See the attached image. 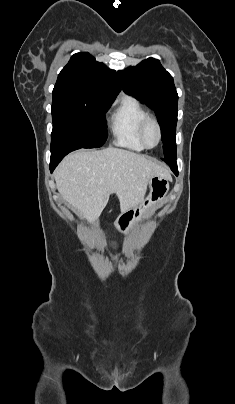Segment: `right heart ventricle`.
I'll use <instances>...</instances> for the list:
<instances>
[{"label":"right heart ventricle","mask_w":235,"mask_h":404,"mask_svg":"<svg viewBox=\"0 0 235 404\" xmlns=\"http://www.w3.org/2000/svg\"><path fill=\"white\" fill-rule=\"evenodd\" d=\"M147 116V111L137 99L124 97L111 116L110 128L115 143L135 151L144 150L138 130L140 123Z\"/></svg>","instance_id":"obj_1"}]
</instances>
